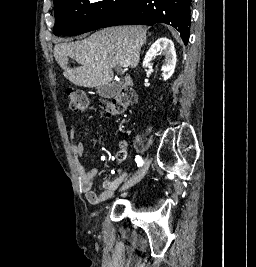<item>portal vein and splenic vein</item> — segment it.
I'll return each instance as SVG.
<instances>
[{
  "mask_svg": "<svg viewBox=\"0 0 256 267\" xmlns=\"http://www.w3.org/2000/svg\"><path fill=\"white\" fill-rule=\"evenodd\" d=\"M120 66L121 68H128L129 64L127 62H121Z\"/></svg>",
  "mask_w": 256,
  "mask_h": 267,
  "instance_id": "1",
  "label": "portal vein and splenic vein"
}]
</instances>
